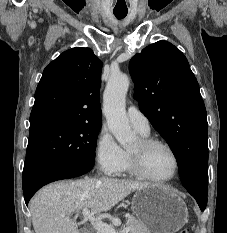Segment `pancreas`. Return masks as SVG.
<instances>
[{"instance_id": "cf45deb5", "label": "pancreas", "mask_w": 227, "mask_h": 233, "mask_svg": "<svg viewBox=\"0 0 227 233\" xmlns=\"http://www.w3.org/2000/svg\"><path fill=\"white\" fill-rule=\"evenodd\" d=\"M126 227L130 228V233H150L149 229L133 215L127 217Z\"/></svg>"}]
</instances>
